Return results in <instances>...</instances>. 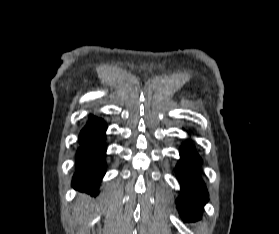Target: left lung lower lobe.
<instances>
[{
  "label": "left lung lower lobe",
  "instance_id": "left-lung-lower-lobe-1",
  "mask_svg": "<svg viewBox=\"0 0 279 234\" xmlns=\"http://www.w3.org/2000/svg\"><path fill=\"white\" fill-rule=\"evenodd\" d=\"M180 157L176 167V175L181 185L177 205L184 221H196L201 218L203 206L208 201V192L198 176V167L202 164V159L189 144L182 145Z\"/></svg>",
  "mask_w": 279,
  "mask_h": 234
}]
</instances>
